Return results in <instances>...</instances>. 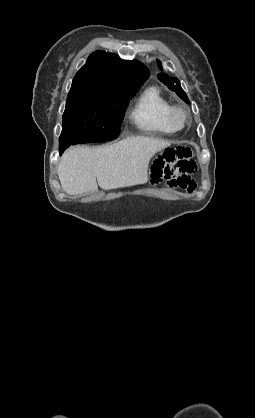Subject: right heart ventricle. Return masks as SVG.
Masks as SVG:
<instances>
[{"instance_id": "obj_1", "label": "right heart ventricle", "mask_w": 255, "mask_h": 418, "mask_svg": "<svg viewBox=\"0 0 255 418\" xmlns=\"http://www.w3.org/2000/svg\"><path fill=\"white\" fill-rule=\"evenodd\" d=\"M170 101L156 86H149L138 96L130 113L135 127L146 134L166 135L175 130L167 120Z\"/></svg>"}]
</instances>
